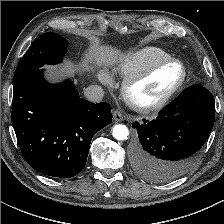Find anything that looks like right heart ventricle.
Masks as SVG:
<instances>
[{"label": "right heart ventricle", "instance_id": "right-heart-ventricle-1", "mask_svg": "<svg viewBox=\"0 0 224 224\" xmlns=\"http://www.w3.org/2000/svg\"><path fill=\"white\" fill-rule=\"evenodd\" d=\"M171 58V55L165 50L147 46L123 56L117 70L124 77H130L143 71L155 62Z\"/></svg>", "mask_w": 224, "mask_h": 224}]
</instances>
